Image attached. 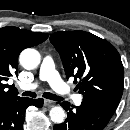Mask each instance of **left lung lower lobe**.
I'll list each match as a JSON object with an SVG mask.
<instances>
[{
  "label": "left lung lower lobe",
  "instance_id": "left-lung-lower-lobe-1",
  "mask_svg": "<svg viewBox=\"0 0 130 130\" xmlns=\"http://www.w3.org/2000/svg\"><path fill=\"white\" fill-rule=\"evenodd\" d=\"M60 105L68 111L67 119L54 125L53 130H103L115 112L103 103L87 99L74 110L66 101Z\"/></svg>",
  "mask_w": 130,
  "mask_h": 130
}]
</instances>
